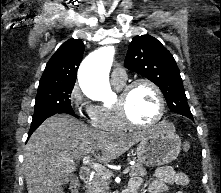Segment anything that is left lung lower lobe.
Wrapping results in <instances>:
<instances>
[{"label":"left lung lower lobe","mask_w":221,"mask_h":193,"mask_svg":"<svg viewBox=\"0 0 221 193\" xmlns=\"http://www.w3.org/2000/svg\"><path fill=\"white\" fill-rule=\"evenodd\" d=\"M188 118H190L191 120H193V116H191V117H188Z\"/></svg>","instance_id":"0a47b994"}]
</instances>
